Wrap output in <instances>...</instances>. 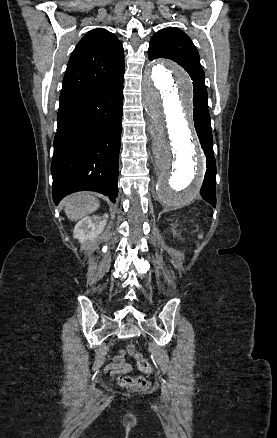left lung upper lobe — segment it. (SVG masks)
Here are the masks:
<instances>
[{"label":"left lung upper lobe","instance_id":"1","mask_svg":"<svg viewBox=\"0 0 277 438\" xmlns=\"http://www.w3.org/2000/svg\"><path fill=\"white\" fill-rule=\"evenodd\" d=\"M168 58L181 65L193 80L194 110L208 113L207 90L199 54L190 38L176 28H165L155 33L149 44L148 58Z\"/></svg>","mask_w":277,"mask_h":438}]
</instances>
